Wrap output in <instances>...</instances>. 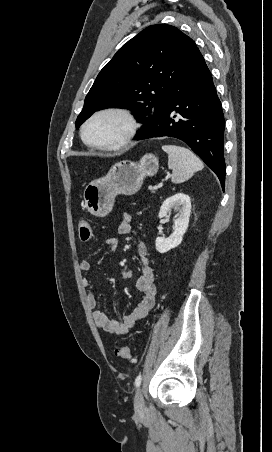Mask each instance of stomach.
Returning <instances> with one entry per match:
<instances>
[{
	"mask_svg": "<svg viewBox=\"0 0 272 452\" xmlns=\"http://www.w3.org/2000/svg\"><path fill=\"white\" fill-rule=\"evenodd\" d=\"M159 167L158 158L145 154L139 162L122 160L115 163L102 178L90 182L84 189L85 208L93 215L104 217L114 206L119 194L133 195L139 191L147 176H154Z\"/></svg>",
	"mask_w": 272,
	"mask_h": 452,
	"instance_id": "0dacf381",
	"label": "stomach"
}]
</instances>
